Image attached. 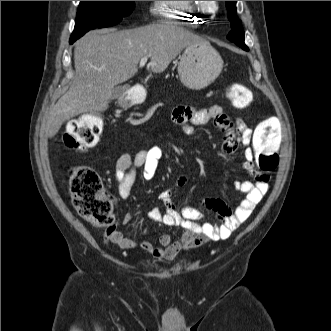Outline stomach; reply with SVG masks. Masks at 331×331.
I'll list each match as a JSON object with an SVG mask.
<instances>
[{
    "mask_svg": "<svg viewBox=\"0 0 331 331\" xmlns=\"http://www.w3.org/2000/svg\"><path fill=\"white\" fill-rule=\"evenodd\" d=\"M222 68L221 56L204 40L185 48L178 64V74L184 86L199 90L211 84Z\"/></svg>",
    "mask_w": 331,
    "mask_h": 331,
    "instance_id": "1",
    "label": "stomach"
}]
</instances>
